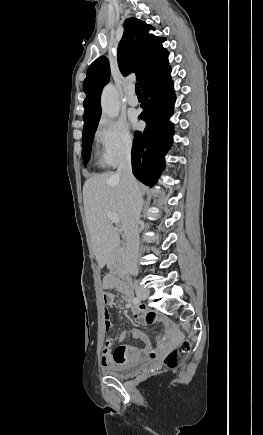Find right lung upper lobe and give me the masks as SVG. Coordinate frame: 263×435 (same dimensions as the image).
Segmentation results:
<instances>
[{"label": "right lung upper lobe", "mask_w": 263, "mask_h": 435, "mask_svg": "<svg viewBox=\"0 0 263 435\" xmlns=\"http://www.w3.org/2000/svg\"><path fill=\"white\" fill-rule=\"evenodd\" d=\"M152 26L136 19L128 18L124 23V33L118 45L117 58L124 76L135 72L141 88L168 67V53L162 47L165 38L157 39L148 31ZM110 67L105 56L95 60L87 70L83 83L86 93L84 100V129L99 122L101 116L100 97L108 83Z\"/></svg>", "instance_id": "cb5924a9"}]
</instances>
